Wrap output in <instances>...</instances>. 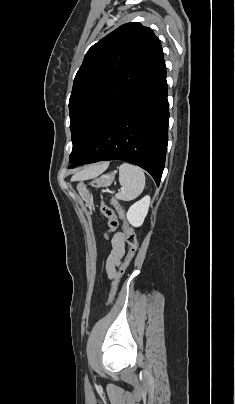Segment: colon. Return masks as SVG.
Here are the masks:
<instances>
[{"label": "colon", "mask_w": 235, "mask_h": 404, "mask_svg": "<svg viewBox=\"0 0 235 404\" xmlns=\"http://www.w3.org/2000/svg\"><path fill=\"white\" fill-rule=\"evenodd\" d=\"M113 207L116 208L119 211V213H122V208L115 198L110 199V205L105 202H102L101 204V212L104 215V217L108 220V228L103 233L104 239L107 238L110 232L115 231L118 227V219ZM123 230L125 233L126 242L129 246V251L124 262L122 263L119 270L113 277L111 288L108 294L107 304H110L114 300L120 279L123 276L124 272L126 271L127 267L129 266L130 262L132 261L133 257L135 256L138 249V241L136 234L133 228L126 221L123 224Z\"/></svg>", "instance_id": "1"}]
</instances>
